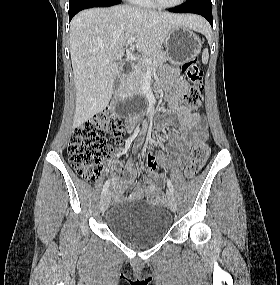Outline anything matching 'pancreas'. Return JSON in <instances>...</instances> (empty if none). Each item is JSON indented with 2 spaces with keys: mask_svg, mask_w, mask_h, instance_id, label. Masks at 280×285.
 Here are the masks:
<instances>
[{
  "mask_svg": "<svg viewBox=\"0 0 280 285\" xmlns=\"http://www.w3.org/2000/svg\"><path fill=\"white\" fill-rule=\"evenodd\" d=\"M148 58L151 59L150 64L145 61ZM165 61L166 55L162 51L143 55V57L133 66L132 73L125 81V93L128 95L141 93L146 72L157 69L158 66L162 65Z\"/></svg>",
  "mask_w": 280,
  "mask_h": 285,
  "instance_id": "pancreas-1",
  "label": "pancreas"
}]
</instances>
